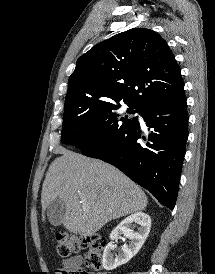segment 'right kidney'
Wrapping results in <instances>:
<instances>
[{
  "mask_svg": "<svg viewBox=\"0 0 215 274\" xmlns=\"http://www.w3.org/2000/svg\"><path fill=\"white\" fill-rule=\"evenodd\" d=\"M139 225L138 232L133 231L131 228ZM151 228V218L143 212H136L126 217L121 223L111 232L110 239L112 240L105 247L103 252V267L106 270H114L117 267L126 264L133 258L144 244ZM124 234L130 240V243L124 244L118 255H113L114 241Z\"/></svg>",
  "mask_w": 215,
  "mask_h": 274,
  "instance_id": "1",
  "label": "right kidney"
}]
</instances>
